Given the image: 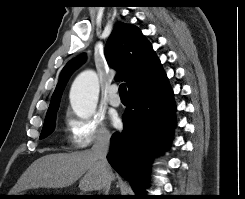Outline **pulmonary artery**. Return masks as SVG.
Masks as SVG:
<instances>
[{"label": "pulmonary artery", "mask_w": 245, "mask_h": 199, "mask_svg": "<svg viewBox=\"0 0 245 199\" xmlns=\"http://www.w3.org/2000/svg\"><path fill=\"white\" fill-rule=\"evenodd\" d=\"M118 92V86L117 85H112L108 89V97L107 100L110 105L114 107H118L121 105V99L117 94Z\"/></svg>", "instance_id": "obj_1"}]
</instances>
